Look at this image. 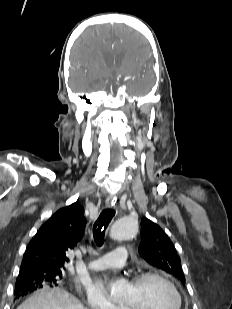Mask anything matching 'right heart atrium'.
Instances as JSON below:
<instances>
[{"label": "right heart atrium", "instance_id": "1", "mask_svg": "<svg viewBox=\"0 0 232 309\" xmlns=\"http://www.w3.org/2000/svg\"><path fill=\"white\" fill-rule=\"evenodd\" d=\"M87 304L92 309H122L121 306L111 302L99 288L94 286L87 289Z\"/></svg>", "mask_w": 232, "mask_h": 309}]
</instances>
